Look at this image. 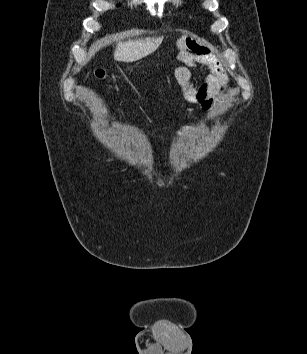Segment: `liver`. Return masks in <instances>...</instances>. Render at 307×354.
I'll list each match as a JSON object with an SVG mask.
<instances>
[{
  "mask_svg": "<svg viewBox=\"0 0 307 354\" xmlns=\"http://www.w3.org/2000/svg\"><path fill=\"white\" fill-rule=\"evenodd\" d=\"M163 37L128 40L119 42L114 51V59L119 62H135L153 53Z\"/></svg>",
  "mask_w": 307,
  "mask_h": 354,
  "instance_id": "1",
  "label": "liver"
}]
</instances>
